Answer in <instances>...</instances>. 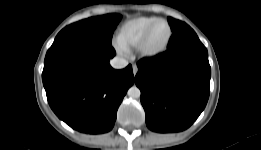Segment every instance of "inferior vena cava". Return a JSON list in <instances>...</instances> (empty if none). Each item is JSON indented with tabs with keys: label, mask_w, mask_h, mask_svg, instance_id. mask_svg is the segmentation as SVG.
<instances>
[{
	"label": "inferior vena cava",
	"mask_w": 261,
	"mask_h": 150,
	"mask_svg": "<svg viewBox=\"0 0 261 150\" xmlns=\"http://www.w3.org/2000/svg\"><path fill=\"white\" fill-rule=\"evenodd\" d=\"M110 65L114 68V69H123L128 65V61L120 58V57H114L111 61H110Z\"/></svg>",
	"instance_id": "inferior-vena-cava-1"
}]
</instances>
